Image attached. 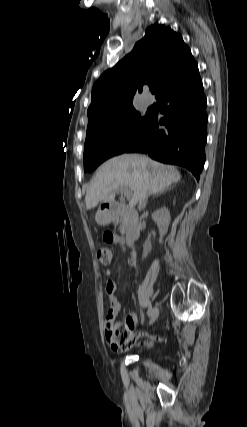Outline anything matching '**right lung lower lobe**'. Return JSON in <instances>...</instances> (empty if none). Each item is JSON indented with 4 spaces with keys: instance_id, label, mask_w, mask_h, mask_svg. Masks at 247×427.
Returning a JSON list of instances; mask_svg holds the SVG:
<instances>
[{
    "instance_id": "98d812e1",
    "label": "right lung lower lobe",
    "mask_w": 247,
    "mask_h": 427,
    "mask_svg": "<svg viewBox=\"0 0 247 427\" xmlns=\"http://www.w3.org/2000/svg\"><path fill=\"white\" fill-rule=\"evenodd\" d=\"M157 103L164 117L151 114L143 137L126 152L186 167L199 179L205 163L207 102L198 68L174 83ZM162 125L166 129H160Z\"/></svg>"
}]
</instances>
